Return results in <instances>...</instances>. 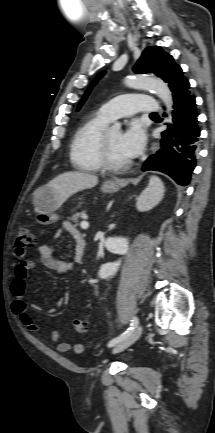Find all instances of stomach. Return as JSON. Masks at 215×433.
<instances>
[{
  "label": "stomach",
  "instance_id": "obj_1",
  "mask_svg": "<svg viewBox=\"0 0 215 433\" xmlns=\"http://www.w3.org/2000/svg\"><path fill=\"white\" fill-rule=\"evenodd\" d=\"M118 190V184L113 182H107L102 187V191L105 193H115ZM33 202L35 210L38 212L37 222L39 224L49 225L58 221L59 216L56 210L60 206V202L51 187L38 188L33 194Z\"/></svg>",
  "mask_w": 215,
  "mask_h": 433
}]
</instances>
